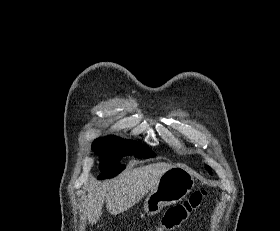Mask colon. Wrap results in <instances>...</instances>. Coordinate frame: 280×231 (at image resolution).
Instances as JSON below:
<instances>
[{"instance_id": "1", "label": "colon", "mask_w": 280, "mask_h": 231, "mask_svg": "<svg viewBox=\"0 0 280 231\" xmlns=\"http://www.w3.org/2000/svg\"><path fill=\"white\" fill-rule=\"evenodd\" d=\"M205 196H206V192L197 191L194 194H192L180 206L169 208V211L165 212L166 220L161 221V224L164 225L163 228H161V231L179 230L180 229L179 225H186L187 224L186 220H193L194 216L189 214L198 212L197 208L200 206Z\"/></svg>"}]
</instances>
